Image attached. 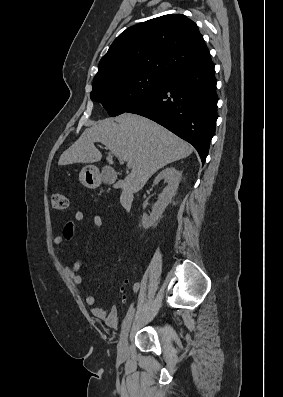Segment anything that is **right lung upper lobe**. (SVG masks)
<instances>
[{
    "label": "right lung upper lobe",
    "instance_id": "right-lung-upper-lobe-1",
    "mask_svg": "<svg viewBox=\"0 0 283 397\" xmlns=\"http://www.w3.org/2000/svg\"><path fill=\"white\" fill-rule=\"evenodd\" d=\"M210 61L196 23L185 15L169 14L123 31L101 59L93 83L142 75L165 80Z\"/></svg>",
    "mask_w": 283,
    "mask_h": 397
}]
</instances>
